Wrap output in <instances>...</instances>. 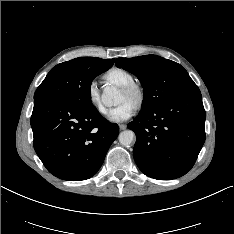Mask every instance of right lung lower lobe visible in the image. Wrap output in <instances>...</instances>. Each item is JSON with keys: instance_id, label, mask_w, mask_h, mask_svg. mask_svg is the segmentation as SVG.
Here are the masks:
<instances>
[{"instance_id": "1", "label": "right lung lower lobe", "mask_w": 234, "mask_h": 234, "mask_svg": "<svg viewBox=\"0 0 234 234\" xmlns=\"http://www.w3.org/2000/svg\"><path fill=\"white\" fill-rule=\"evenodd\" d=\"M34 149L54 176L69 181L95 175L119 134L118 125L96 108L81 107L63 98L34 100L31 116Z\"/></svg>"}]
</instances>
